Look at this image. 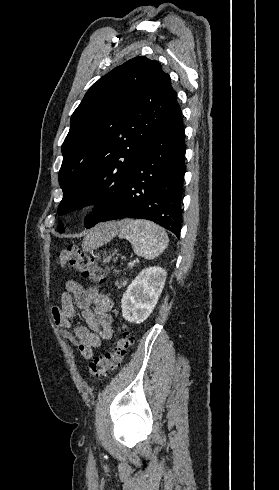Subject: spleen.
Listing matches in <instances>:
<instances>
[{"instance_id": "1", "label": "spleen", "mask_w": 279, "mask_h": 490, "mask_svg": "<svg viewBox=\"0 0 279 490\" xmlns=\"http://www.w3.org/2000/svg\"><path fill=\"white\" fill-rule=\"evenodd\" d=\"M118 232L119 238H126L132 244L133 252L145 260H154L156 256H160L169 242L165 230L149 220H123ZM107 240H111V236L104 234L103 238L98 240L96 248Z\"/></svg>"}]
</instances>
